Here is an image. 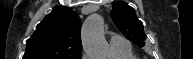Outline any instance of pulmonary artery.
Wrapping results in <instances>:
<instances>
[{
	"label": "pulmonary artery",
	"instance_id": "pulmonary-artery-1",
	"mask_svg": "<svg viewBox=\"0 0 193 59\" xmlns=\"http://www.w3.org/2000/svg\"><path fill=\"white\" fill-rule=\"evenodd\" d=\"M110 44L114 51H122V50H129L131 49V46L123 36L112 33L110 35Z\"/></svg>",
	"mask_w": 193,
	"mask_h": 59
}]
</instances>
